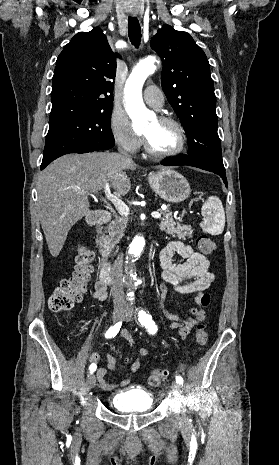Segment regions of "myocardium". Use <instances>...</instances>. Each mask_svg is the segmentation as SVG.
I'll return each instance as SVG.
<instances>
[{"mask_svg":"<svg viewBox=\"0 0 279 465\" xmlns=\"http://www.w3.org/2000/svg\"><path fill=\"white\" fill-rule=\"evenodd\" d=\"M157 120L160 123L171 124V125L176 127V129L178 131V134H179V143H178L177 147L175 149H173L172 151L158 152V151L153 149V147L151 146L148 138L145 135H143L144 148H145L146 152L150 156H152L154 158H158V159L171 158V157H175V156L181 154L183 152V150L185 149L186 142H187L186 131H185V128L182 125V123L180 121H178L177 119L171 117V116H165V115L158 117Z\"/></svg>","mask_w":279,"mask_h":465,"instance_id":"f54148a6","label":"myocardium"}]
</instances>
